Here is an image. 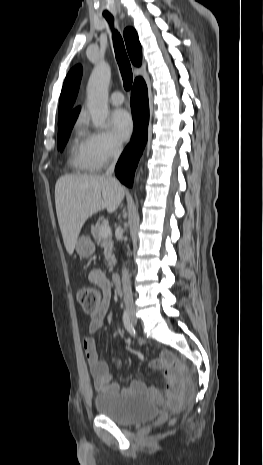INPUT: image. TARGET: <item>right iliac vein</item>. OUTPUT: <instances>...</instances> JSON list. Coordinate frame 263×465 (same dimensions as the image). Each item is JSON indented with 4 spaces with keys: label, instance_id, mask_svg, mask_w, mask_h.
I'll return each instance as SVG.
<instances>
[{
    "label": "right iliac vein",
    "instance_id": "obj_1",
    "mask_svg": "<svg viewBox=\"0 0 263 465\" xmlns=\"http://www.w3.org/2000/svg\"><path fill=\"white\" fill-rule=\"evenodd\" d=\"M128 313H129V316L132 318V320H135L134 311H133V310H129Z\"/></svg>",
    "mask_w": 263,
    "mask_h": 465
}]
</instances>
